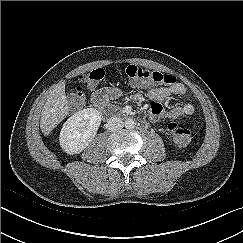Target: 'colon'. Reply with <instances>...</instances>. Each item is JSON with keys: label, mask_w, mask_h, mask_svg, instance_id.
<instances>
[{"label": "colon", "mask_w": 243, "mask_h": 243, "mask_svg": "<svg viewBox=\"0 0 243 243\" xmlns=\"http://www.w3.org/2000/svg\"><path fill=\"white\" fill-rule=\"evenodd\" d=\"M130 80L137 84L148 85H174L176 77L171 74H164L157 71L144 69L135 65H129L124 70ZM104 78V71L101 68L94 69L79 76V81L88 85L97 84ZM69 98L73 104L81 107L85 103V95L82 87H76L69 93ZM167 130L171 139L179 146H186L191 140V133L188 128L176 122H170Z\"/></svg>", "instance_id": "obj_1"}]
</instances>
